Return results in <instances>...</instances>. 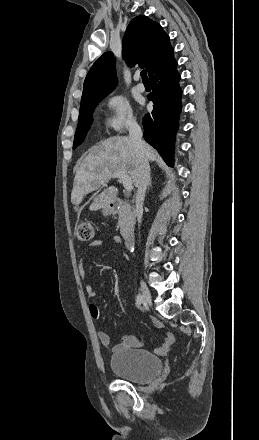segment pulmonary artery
I'll use <instances>...</instances> for the list:
<instances>
[{"label": "pulmonary artery", "instance_id": "e3ab8cb5", "mask_svg": "<svg viewBox=\"0 0 259 440\" xmlns=\"http://www.w3.org/2000/svg\"><path fill=\"white\" fill-rule=\"evenodd\" d=\"M135 80H136V81L139 80V75H136V76H135ZM136 89H137L139 92H144V91H145V86H144L143 83H141V82H137V84H136Z\"/></svg>", "mask_w": 259, "mask_h": 440}]
</instances>
